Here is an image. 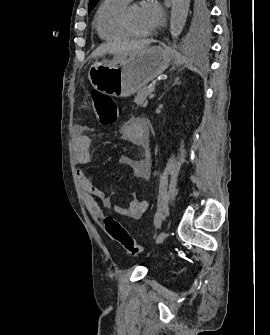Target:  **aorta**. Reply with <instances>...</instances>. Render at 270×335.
Segmentation results:
<instances>
[{
  "mask_svg": "<svg viewBox=\"0 0 270 335\" xmlns=\"http://www.w3.org/2000/svg\"><path fill=\"white\" fill-rule=\"evenodd\" d=\"M189 6L190 0H173L170 18V32L173 38H177L181 34L188 16Z\"/></svg>",
  "mask_w": 270,
  "mask_h": 335,
  "instance_id": "762f6f07",
  "label": "aorta"
}]
</instances>
